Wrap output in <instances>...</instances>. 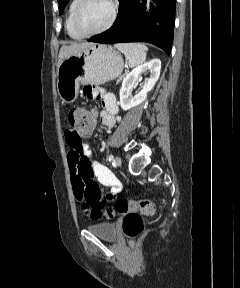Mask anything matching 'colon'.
<instances>
[{
    "label": "colon",
    "mask_w": 240,
    "mask_h": 288,
    "mask_svg": "<svg viewBox=\"0 0 240 288\" xmlns=\"http://www.w3.org/2000/svg\"><path fill=\"white\" fill-rule=\"evenodd\" d=\"M96 120L95 111L78 107L73 108L68 113L66 124L76 135H80L92 130ZM112 198V194L103 196L101 191H90L82 202L81 208L86 215L93 219L101 216L107 218H112L115 215L123 216V232L133 241L143 231L144 222L142 216H152L155 213V204L151 200L133 201L119 199L115 202L114 207L102 212L101 209L104 207L105 202Z\"/></svg>",
    "instance_id": "colon-1"
}]
</instances>
